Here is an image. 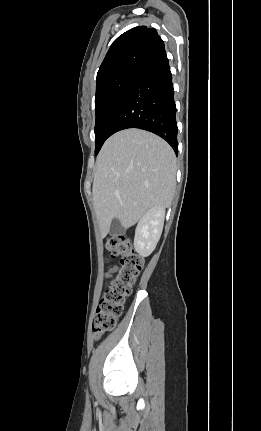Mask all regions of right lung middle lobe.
<instances>
[{"instance_id":"1","label":"right lung middle lobe","mask_w":261,"mask_h":431,"mask_svg":"<svg viewBox=\"0 0 261 431\" xmlns=\"http://www.w3.org/2000/svg\"><path fill=\"white\" fill-rule=\"evenodd\" d=\"M139 70L123 72L96 87L95 154L110 136V127Z\"/></svg>"}]
</instances>
